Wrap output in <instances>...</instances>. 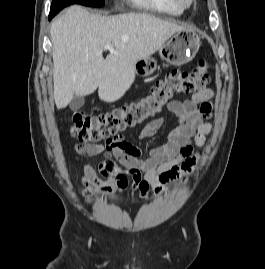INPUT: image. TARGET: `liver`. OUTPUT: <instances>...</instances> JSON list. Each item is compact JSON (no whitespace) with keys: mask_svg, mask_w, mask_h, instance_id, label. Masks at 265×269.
Wrapping results in <instances>:
<instances>
[{"mask_svg":"<svg viewBox=\"0 0 265 269\" xmlns=\"http://www.w3.org/2000/svg\"><path fill=\"white\" fill-rule=\"evenodd\" d=\"M183 29L146 13L102 16L71 6L53 20L50 29L57 108H65L74 96L92 94L97 88L105 102L120 99L135 80V63ZM111 43L115 53L104 59L103 49Z\"/></svg>","mask_w":265,"mask_h":269,"instance_id":"1","label":"liver"}]
</instances>
